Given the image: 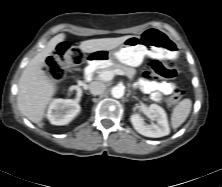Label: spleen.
I'll return each mask as SVG.
<instances>
[{"label": "spleen", "instance_id": "obj_1", "mask_svg": "<svg viewBox=\"0 0 222 187\" xmlns=\"http://www.w3.org/2000/svg\"><path fill=\"white\" fill-rule=\"evenodd\" d=\"M192 101L188 98L183 99L176 105L171 114V126L173 129L181 126L190 114Z\"/></svg>", "mask_w": 222, "mask_h": 187}]
</instances>
